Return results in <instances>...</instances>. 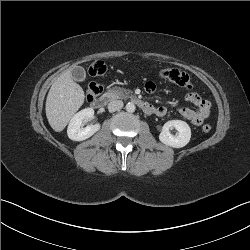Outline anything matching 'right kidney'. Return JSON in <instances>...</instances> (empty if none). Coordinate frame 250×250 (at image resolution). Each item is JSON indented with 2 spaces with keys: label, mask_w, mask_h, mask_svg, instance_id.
Returning <instances> with one entry per match:
<instances>
[{
  "label": "right kidney",
  "mask_w": 250,
  "mask_h": 250,
  "mask_svg": "<svg viewBox=\"0 0 250 250\" xmlns=\"http://www.w3.org/2000/svg\"><path fill=\"white\" fill-rule=\"evenodd\" d=\"M94 110L92 108H85L76 113L70 120L67 134L68 137L73 141H83L90 138L97 131L100 130L101 125L96 123L94 125H88L82 128V122L84 119L92 118Z\"/></svg>",
  "instance_id": "right-kidney-1"
}]
</instances>
